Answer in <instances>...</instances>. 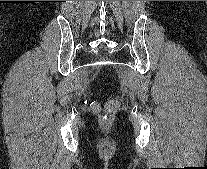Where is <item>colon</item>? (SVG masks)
Instances as JSON below:
<instances>
[{"instance_id": "1", "label": "colon", "mask_w": 207, "mask_h": 169, "mask_svg": "<svg viewBox=\"0 0 207 169\" xmlns=\"http://www.w3.org/2000/svg\"><path fill=\"white\" fill-rule=\"evenodd\" d=\"M118 106H119L118 102L115 100H112L106 104V110L108 112H114L117 110Z\"/></svg>"}]
</instances>
